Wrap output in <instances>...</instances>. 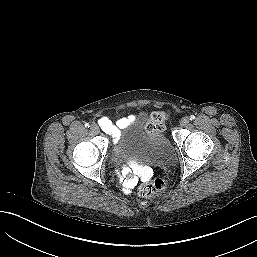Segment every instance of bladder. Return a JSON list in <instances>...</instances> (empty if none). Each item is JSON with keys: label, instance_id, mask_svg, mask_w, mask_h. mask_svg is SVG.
Segmentation results:
<instances>
[{"label": "bladder", "instance_id": "bladder-1", "mask_svg": "<svg viewBox=\"0 0 257 257\" xmlns=\"http://www.w3.org/2000/svg\"><path fill=\"white\" fill-rule=\"evenodd\" d=\"M127 134L146 151L155 163H163L172 156L169 138L163 132L149 129L146 113H141L136 117L127 127Z\"/></svg>", "mask_w": 257, "mask_h": 257}]
</instances>
